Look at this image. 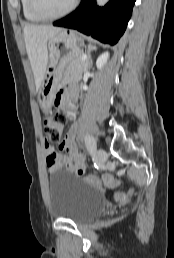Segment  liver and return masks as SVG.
<instances>
[{
  "label": "liver",
  "instance_id": "obj_1",
  "mask_svg": "<svg viewBox=\"0 0 174 258\" xmlns=\"http://www.w3.org/2000/svg\"><path fill=\"white\" fill-rule=\"evenodd\" d=\"M62 29L50 25H26L23 29L26 51L33 70L36 91L40 89L48 63V40Z\"/></svg>",
  "mask_w": 174,
  "mask_h": 258
}]
</instances>
